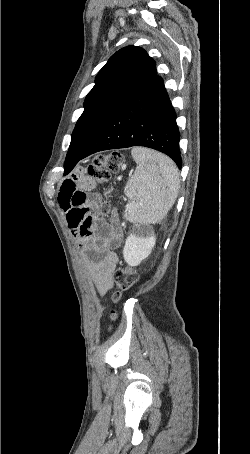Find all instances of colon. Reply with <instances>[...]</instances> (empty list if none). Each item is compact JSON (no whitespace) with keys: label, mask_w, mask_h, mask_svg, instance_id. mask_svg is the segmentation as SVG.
Instances as JSON below:
<instances>
[{"label":"colon","mask_w":250,"mask_h":454,"mask_svg":"<svg viewBox=\"0 0 250 454\" xmlns=\"http://www.w3.org/2000/svg\"><path fill=\"white\" fill-rule=\"evenodd\" d=\"M123 156L120 152L114 151L106 155H99L95 158L94 162L88 166L87 174L93 180L104 183L109 181L111 174L117 172L122 164ZM113 191L111 188H106L104 191L106 200L101 204L97 215L104 217L109 210V201ZM113 279L119 289V293L132 288L139 279V273L135 267L124 266L117 269L113 274ZM117 293L113 296L114 301L119 299L120 294ZM112 318L116 317V313H111Z\"/></svg>","instance_id":"1"}]
</instances>
